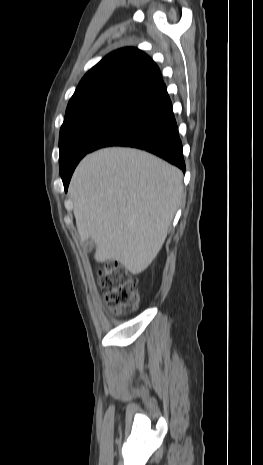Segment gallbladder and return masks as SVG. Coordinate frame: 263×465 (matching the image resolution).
<instances>
[{"label":"gallbladder","mask_w":263,"mask_h":465,"mask_svg":"<svg viewBox=\"0 0 263 465\" xmlns=\"http://www.w3.org/2000/svg\"><path fill=\"white\" fill-rule=\"evenodd\" d=\"M93 247H94V242L91 240V239H88L87 241H85L83 243V249L86 251V252H90L93 250Z\"/></svg>","instance_id":"bac80fb5"}]
</instances>
